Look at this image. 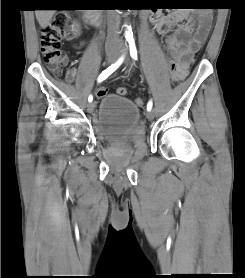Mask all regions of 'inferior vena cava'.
<instances>
[{"label": "inferior vena cava", "instance_id": "602c4592", "mask_svg": "<svg viewBox=\"0 0 245 278\" xmlns=\"http://www.w3.org/2000/svg\"><path fill=\"white\" fill-rule=\"evenodd\" d=\"M118 40H119L118 16L115 13H113L109 17L107 43H115Z\"/></svg>", "mask_w": 245, "mask_h": 278}]
</instances>
